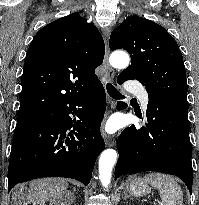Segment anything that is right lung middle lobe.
<instances>
[{"label": "right lung middle lobe", "mask_w": 199, "mask_h": 205, "mask_svg": "<svg viewBox=\"0 0 199 205\" xmlns=\"http://www.w3.org/2000/svg\"><path fill=\"white\" fill-rule=\"evenodd\" d=\"M43 116L44 115L35 116V117H27V118H17V124H16L15 131L21 130V129L31 125L32 123L36 122L37 120H39Z\"/></svg>", "instance_id": "obj_1"}]
</instances>
